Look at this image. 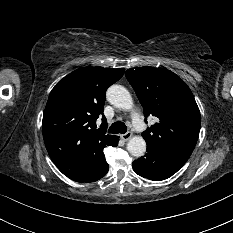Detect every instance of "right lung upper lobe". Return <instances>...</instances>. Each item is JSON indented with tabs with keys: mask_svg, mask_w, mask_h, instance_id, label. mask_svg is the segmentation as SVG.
Instances as JSON below:
<instances>
[{
	"mask_svg": "<svg viewBox=\"0 0 233 233\" xmlns=\"http://www.w3.org/2000/svg\"><path fill=\"white\" fill-rule=\"evenodd\" d=\"M124 68L86 67L61 79L52 89L43 114V138L56 166L94 159L114 135L96 129L103 115L105 92L118 81Z\"/></svg>",
	"mask_w": 233,
	"mask_h": 233,
	"instance_id": "right-lung-upper-lobe-1",
	"label": "right lung upper lobe"
}]
</instances>
